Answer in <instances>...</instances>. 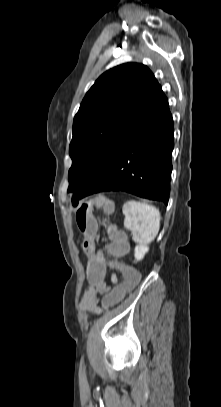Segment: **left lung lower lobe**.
Returning <instances> with one entry per match:
<instances>
[{
  "label": "left lung lower lobe",
  "instance_id": "1",
  "mask_svg": "<svg viewBox=\"0 0 221 407\" xmlns=\"http://www.w3.org/2000/svg\"><path fill=\"white\" fill-rule=\"evenodd\" d=\"M174 127L159 85L131 120L110 158L73 200L104 191H126L151 200H169Z\"/></svg>",
  "mask_w": 221,
  "mask_h": 407
}]
</instances>
